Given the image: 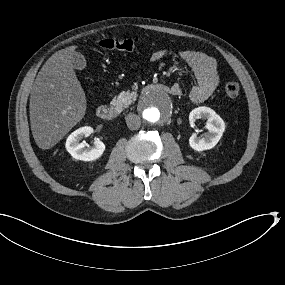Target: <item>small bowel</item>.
Here are the masks:
<instances>
[{"mask_svg": "<svg viewBox=\"0 0 285 285\" xmlns=\"http://www.w3.org/2000/svg\"><path fill=\"white\" fill-rule=\"evenodd\" d=\"M168 56V51L158 49L151 54L152 62H159ZM178 57L185 62L191 69L195 77V84L188 91L191 101L201 103L207 100L219 85V75L216 60L198 50H182L178 52ZM173 95H181L184 90L181 84L174 83L171 86Z\"/></svg>", "mask_w": 285, "mask_h": 285, "instance_id": "c3829d8e", "label": "small bowel"}]
</instances>
